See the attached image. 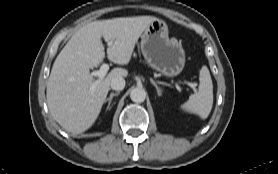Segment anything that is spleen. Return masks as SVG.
<instances>
[{"label":"spleen","mask_w":278,"mask_h":174,"mask_svg":"<svg viewBox=\"0 0 278 174\" xmlns=\"http://www.w3.org/2000/svg\"><path fill=\"white\" fill-rule=\"evenodd\" d=\"M199 80L198 92L191 94L189 100L181 108L188 112L196 113L202 119H206L213 106V84L206 66L200 69Z\"/></svg>","instance_id":"1"}]
</instances>
